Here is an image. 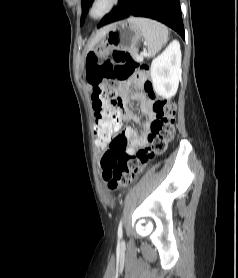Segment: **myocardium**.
I'll use <instances>...</instances> for the list:
<instances>
[{"mask_svg":"<svg viewBox=\"0 0 238 278\" xmlns=\"http://www.w3.org/2000/svg\"><path fill=\"white\" fill-rule=\"evenodd\" d=\"M102 1L103 0H92L88 7V16L94 21H99V20L105 18L107 15H109L111 12H113L114 9L120 3V0H107V7L105 8V10L102 13L96 15L94 13V10H95L96 6L99 3H101Z\"/></svg>","mask_w":238,"mask_h":278,"instance_id":"f54148a6","label":"myocardium"}]
</instances>
